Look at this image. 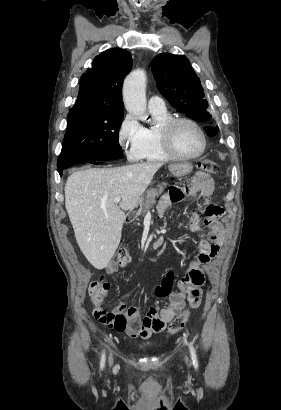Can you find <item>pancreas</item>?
I'll return each instance as SVG.
<instances>
[{
  "label": "pancreas",
  "instance_id": "obj_1",
  "mask_svg": "<svg viewBox=\"0 0 281 410\" xmlns=\"http://www.w3.org/2000/svg\"><path fill=\"white\" fill-rule=\"evenodd\" d=\"M165 183L157 185V188H152L147 191V195L143 202V209L141 214H144L148 208H150L155 203V198L162 194L164 190Z\"/></svg>",
  "mask_w": 281,
  "mask_h": 410
}]
</instances>
